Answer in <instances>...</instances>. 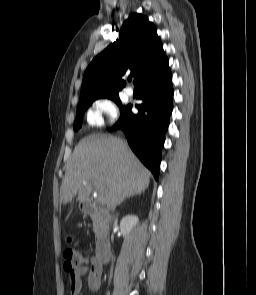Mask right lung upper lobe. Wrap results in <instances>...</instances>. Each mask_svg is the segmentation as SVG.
Instances as JSON below:
<instances>
[{
	"label": "right lung upper lobe",
	"instance_id": "1",
	"mask_svg": "<svg viewBox=\"0 0 256 295\" xmlns=\"http://www.w3.org/2000/svg\"><path fill=\"white\" fill-rule=\"evenodd\" d=\"M166 55L156 27L141 14H131L120 29L119 38L98 54L87 67L81 98L119 95L125 86L121 77L130 70L134 83L158 67Z\"/></svg>",
	"mask_w": 256,
	"mask_h": 295
}]
</instances>
